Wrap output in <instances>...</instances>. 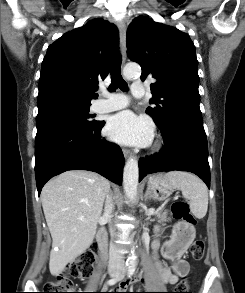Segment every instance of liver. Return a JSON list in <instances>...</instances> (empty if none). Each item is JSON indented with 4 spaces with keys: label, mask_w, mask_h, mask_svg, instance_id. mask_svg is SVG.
<instances>
[{
    "label": "liver",
    "mask_w": 245,
    "mask_h": 293,
    "mask_svg": "<svg viewBox=\"0 0 245 293\" xmlns=\"http://www.w3.org/2000/svg\"><path fill=\"white\" fill-rule=\"evenodd\" d=\"M110 183L85 170L66 171L42 189V207L52 237L49 269L57 276L92 244Z\"/></svg>",
    "instance_id": "liver-1"
}]
</instances>
